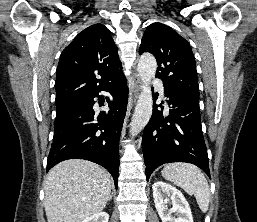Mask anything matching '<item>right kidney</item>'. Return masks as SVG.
I'll return each instance as SVG.
<instances>
[{
  "label": "right kidney",
  "mask_w": 257,
  "mask_h": 222,
  "mask_svg": "<svg viewBox=\"0 0 257 222\" xmlns=\"http://www.w3.org/2000/svg\"><path fill=\"white\" fill-rule=\"evenodd\" d=\"M109 215L106 212H99L96 213L86 219H84L82 222H108Z\"/></svg>",
  "instance_id": "obj_1"
}]
</instances>
